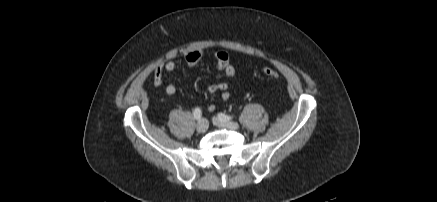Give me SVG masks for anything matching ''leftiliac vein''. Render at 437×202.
Returning a JSON list of instances; mask_svg holds the SVG:
<instances>
[{
    "label": "left iliac vein",
    "mask_w": 437,
    "mask_h": 202,
    "mask_svg": "<svg viewBox=\"0 0 437 202\" xmlns=\"http://www.w3.org/2000/svg\"><path fill=\"white\" fill-rule=\"evenodd\" d=\"M213 123L218 127L227 129L235 130L239 128V124L237 122L221 120L219 117H213Z\"/></svg>",
    "instance_id": "1"
}]
</instances>
